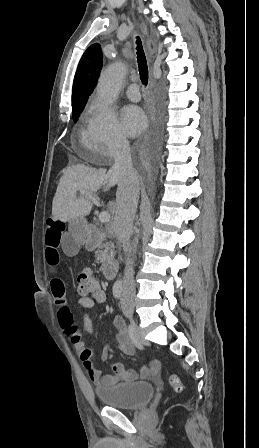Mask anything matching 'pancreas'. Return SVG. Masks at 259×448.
<instances>
[{
    "instance_id": "1",
    "label": "pancreas",
    "mask_w": 259,
    "mask_h": 448,
    "mask_svg": "<svg viewBox=\"0 0 259 448\" xmlns=\"http://www.w3.org/2000/svg\"><path fill=\"white\" fill-rule=\"evenodd\" d=\"M114 244L113 242H106V246H99V250L95 252L97 262H106V260H113L114 258Z\"/></svg>"
}]
</instances>
